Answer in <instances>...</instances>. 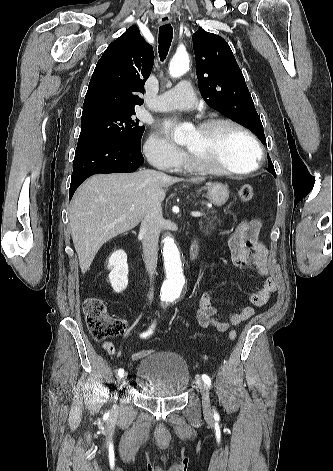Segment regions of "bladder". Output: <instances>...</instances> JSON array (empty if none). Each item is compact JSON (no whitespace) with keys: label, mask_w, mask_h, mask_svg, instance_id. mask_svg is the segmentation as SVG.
Returning a JSON list of instances; mask_svg holds the SVG:
<instances>
[{"label":"bladder","mask_w":333,"mask_h":471,"mask_svg":"<svg viewBox=\"0 0 333 471\" xmlns=\"http://www.w3.org/2000/svg\"><path fill=\"white\" fill-rule=\"evenodd\" d=\"M136 375L144 383L147 395L162 399L180 397L191 381L185 359L172 351L146 356L139 363Z\"/></svg>","instance_id":"obj_1"}]
</instances>
